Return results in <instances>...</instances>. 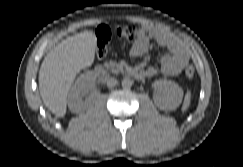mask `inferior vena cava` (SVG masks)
I'll use <instances>...</instances> for the list:
<instances>
[{"label":"inferior vena cava","mask_w":243,"mask_h":167,"mask_svg":"<svg viewBox=\"0 0 243 167\" xmlns=\"http://www.w3.org/2000/svg\"><path fill=\"white\" fill-rule=\"evenodd\" d=\"M118 84V81H117V79H115V78H109L108 80H107V86L108 87H114L115 85H117Z\"/></svg>","instance_id":"inferior-vena-cava-1"}]
</instances>
